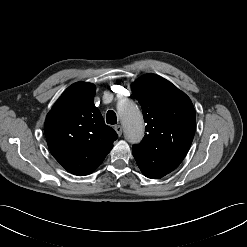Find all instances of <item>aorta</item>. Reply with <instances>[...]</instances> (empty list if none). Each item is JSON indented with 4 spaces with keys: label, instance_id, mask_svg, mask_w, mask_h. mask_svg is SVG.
Returning <instances> with one entry per match:
<instances>
[{
    "label": "aorta",
    "instance_id": "obj_1",
    "mask_svg": "<svg viewBox=\"0 0 247 247\" xmlns=\"http://www.w3.org/2000/svg\"><path fill=\"white\" fill-rule=\"evenodd\" d=\"M117 109L128 142L132 144L140 142L144 136V121L137 106L131 100H122L118 103Z\"/></svg>",
    "mask_w": 247,
    "mask_h": 247
}]
</instances>
